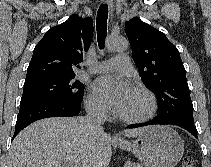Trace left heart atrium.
<instances>
[{
  "label": "left heart atrium",
  "instance_id": "1",
  "mask_svg": "<svg viewBox=\"0 0 211 167\" xmlns=\"http://www.w3.org/2000/svg\"><path fill=\"white\" fill-rule=\"evenodd\" d=\"M91 89L110 110L118 114L124 110L133 91L127 81L114 75L95 79Z\"/></svg>",
  "mask_w": 211,
  "mask_h": 167
}]
</instances>
